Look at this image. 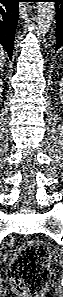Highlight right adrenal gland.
I'll use <instances>...</instances> for the list:
<instances>
[{
	"mask_svg": "<svg viewBox=\"0 0 63 297\" xmlns=\"http://www.w3.org/2000/svg\"><path fill=\"white\" fill-rule=\"evenodd\" d=\"M0 70L2 71V73L4 72V70L2 69V67H3V63L2 64H0Z\"/></svg>",
	"mask_w": 63,
	"mask_h": 297,
	"instance_id": "right-adrenal-gland-1",
	"label": "right adrenal gland"
}]
</instances>
